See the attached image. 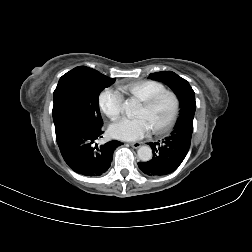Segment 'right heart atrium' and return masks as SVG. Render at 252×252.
Listing matches in <instances>:
<instances>
[{"instance_id":"obj_1","label":"right heart atrium","mask_w":252,"mask_h":252,"mask_svg":"<svg viewBox=\"0 0 252 252\" xmlns=\"http://www.w3.org/2000/svg\"><path fill=\"white\" fill-rule=\"evenodd\" d=\"M99 106L108 118L114 120L122 112L123 97L118 91L106 88L99 95Z\"/></svg>"}]
</instances>
